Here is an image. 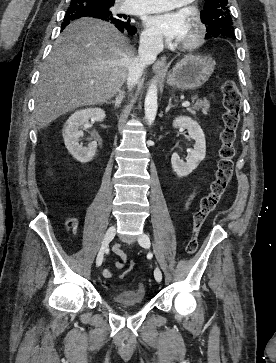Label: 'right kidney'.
<instances>
[{
    "mask_svg": "<svg viewBox=\"0 0 276 363\" xmlns=\"http://www.w3.org/2000/svg\"><path fill=\"white\" fill-rule=\"evenodd\" d=\"M106 117L105 111L101 108H87L74 112L66 121L62 135L68 152L79 162H90L97 149V142L92 141L84 147L80 141L83 136L79 129L88 124L89 119L103 121Z\"/></svg>",
    "mask_w": 276,
    "mask_h": 363,
    "instance_id": "right-kidney-1",
    "label": "right kidney"
}]
</instances>
